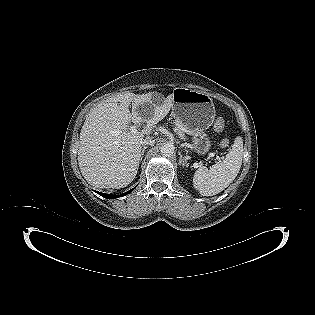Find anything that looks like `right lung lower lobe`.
Segmentation results:
<instances>
[{
  "label": "right lung lower lobe",
  "instance_id": "1",
  "mask_svg": "<svg viewBox=\"0 0 315 315\" xmlns=\"http://www.w3.org/2000/svg\"><path fill=\"white\" fill-rule=\"evenodd\" d=\"M132 190H134V188L131 189V190H129V191H127V192H125V193H123V194H120V195H118V196H114V195H110V194H105V193H100V192H97V193L100 194V195H101L102 197H104V198L111 199V198H117V197L125 196V195H127L128 193H130Z\"/></svg>",
  "mask_w": 315,
  "mask_h": 315
}]
</instances>
